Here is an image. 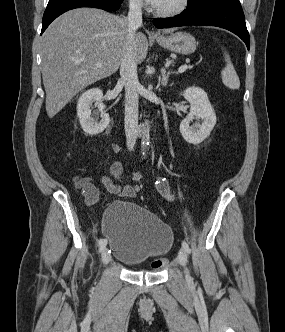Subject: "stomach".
<instances>
[{
    "label": "stomach",
    "instance_id": "obj_1",
    "mask_svg": "<svg viewBox=\"0 0 285 332\" xmlns=\"http://www.w3.org/2000/svg\"><path fill=\"white\" fill-rule=\"evenodd\" d=\"M157 43L170 51L182 55H190L196 51V39L189 33L177 32L168 36L156 37Z\"/></svg>",
    "mask_w": 285,
    "mask_h": 332
}]
</instances>
